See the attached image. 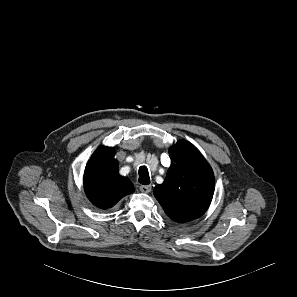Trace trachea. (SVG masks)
Wrapping results in <instances>:
<instances>
[{"label":"trachea","instance_id":"1","mask_svg":"<svg viewBox=\"0 0 297 297\" xmlns=\"http://www.w3.org/2000/svg\"><path fill=\"white\" fill-rule=\"evenodd\" d=\"M139 182L142 185L150 184L149 172L146 166H141L139 168Z\"/></svg>","mask_w":297,"mask_h":297}]
</instances>
